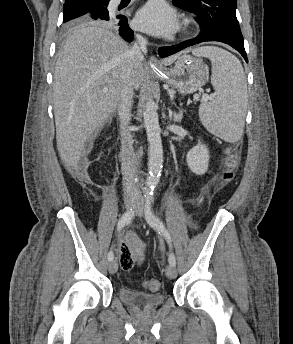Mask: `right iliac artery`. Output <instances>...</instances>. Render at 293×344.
I'll use <instances>...</instances> for the list:
<instances>
[{"label": "right iliac artery", "instance_id": "1", "mask_svg": "<svg viewBox=\"0 0 293 344\" xmlns=\"http://www.w3.org/2000/svg\"><path fill=\"white\" fill-rule=\"evenodd\" d=\"M134 217V209L130 208L128 209L120 218L118 224H117V232H120L126 225H128ZM114 258L113 251H110L108 253V260L111 261Z\"/></svg>", "mask_w": 293, "mask_h": 344}]
</instances>
